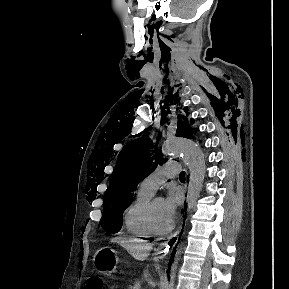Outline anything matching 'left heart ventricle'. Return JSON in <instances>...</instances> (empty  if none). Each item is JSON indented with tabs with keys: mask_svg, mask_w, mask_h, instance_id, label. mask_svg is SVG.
I'll return each mask as SVG.
<instances>
[{
	"mask_svg": "<svg viewBox=\"0 0 289 289\" xmlns=\"http://www.w3.org/2000/svg\"><path fill=\"white\" fill-rule=\"evenodd\" d=\"M153 215L156 224L159 227H166L170 224V220L167 218L164 210V202L162 198H158L153 204Z\"/></svg>",
	"mask_w": 289,
	"mask_h": 289,
	"instance_id": "obj_1",
	"label": "left heart ventricle"
}]
</instances>
